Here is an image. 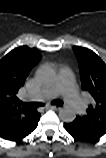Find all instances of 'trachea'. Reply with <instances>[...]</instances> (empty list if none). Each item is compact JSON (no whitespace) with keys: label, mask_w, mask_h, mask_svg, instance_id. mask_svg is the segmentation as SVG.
Listing matches in <instances>:
<instances>
[{"label":"trachea","mask_w":106,"mask_h":158,"mask_svg":"<svg viewBox=\"0 0 106 158\" xmlns=\"http://www.w3.org/2000/svg\"><path fill=\"white\" fill-rule=\"evenodd\" d=\"M62 102L60 100H53L51 102L52 105H59L61 104ZM38 106H41V103H38V102H33V103H29L27 104V107L32 109V108H35V107H38Z\"/></svg>","instance_id":"trachea-1"}]
</instances>
